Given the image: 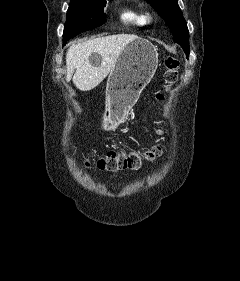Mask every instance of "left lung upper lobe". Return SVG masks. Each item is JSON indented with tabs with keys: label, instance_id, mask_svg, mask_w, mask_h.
Returning <instances> with one entry per match:
<instances>
[{
	"label": "left lung upper lobe",
	"instance_id": "left-lung-upper-lobe-1",
	"mask_svg": "<svg viewBox=\"0 0 240 281\" xmlns=\"http://www.w3.org/2000/svg\"><path fill=\"white\" fill-rule=\"evenodd\" d=\"M157 13L166 20V25L170 27L173 39L184 50L186 56L189 55V31L185 19L177 0H146Z\"/></svg>",
	"mask_w": 240,
	"mask_h": 281
}]
</instances>
